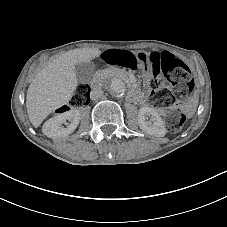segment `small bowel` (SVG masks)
<instances>
[{"mask_svg": "<svg viewBox=\"0 0 227 227\" xmlns=\"http://www.w3.org/2000/svg\"><path fill=\"white\" fill-rule=\"evenodd\" d=\"M135 54H141V55H145V56H159L161 54V52L159 51H153V52H150V53H144V52H137Z\"/></svg>", "mask_w": 227, "mask_h": 227, "instance_id": "c3829d8e", "label": "small bowel"}]
</instances>
